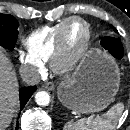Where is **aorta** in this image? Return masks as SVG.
<instances>
[{
	"label": "aorta",
	"instance_id": "1",
	"mask_svg": "<svg viewBox=\"0 0 130 130\" xmlns=\"http://www.w3.org/2000/svg\"><path fill=\"white\" fill-rule=\"evenodd\" d=\"M35 101L40 106H47L50 102V95L46 91H39L35 95Z\"/></svg>",
	"mask_w": 130,
	"mask_h": 130
}]
</instances>
